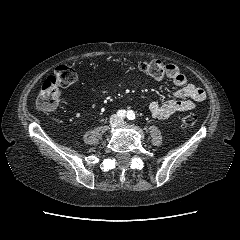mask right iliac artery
<instances>
[{
  "label": "right iliac artery",
  "instance_id": "right-iliac-artery-1",
  "mask_svg": "<svg viewBox=\"0 0 240 240\" xmlns=\"http://www.w3.org/2000/svg\"><path fill=\"white\" fill-rule=\"evenodd\" d=\"M118 117L123 118L126 116V111L125 110H119L117 112Z\"/></svg>",
  "mask_w": 240,
  "mask_h": 240
}]
</instances>
